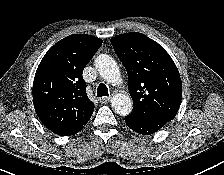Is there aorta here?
Segmentation results:
<instances>
[{
    "instance_id": "762f6f07",
    "label": "aorta",
    "mask_w": 224,
    "mask_h": 175,
    "mask_svg": "<svg viewBox=\"0 0 224 175\" xmlns=\"http://www.w3.org/2000/svg\"><path fill=\"white\" fill-rule=\"evenodd\" d=\"M95 67L101 77L111 84H118L121 82V74L119 67L113 57L107 54H100L95 59ZM111 106L115 113L126 116L133 108V103L128 95L117 93L111 98Z\"/></svg>"
}]
</instances>
